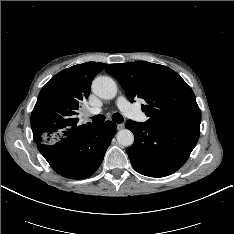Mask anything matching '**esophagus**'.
<instances>
[{"label": "esophagus", "mask_w": 234, "mask_h": 234, "mask_svg": "<svg viewBox=\"0 0 234 234\" xmlns=\"http://www.w3.org/2000/svg\"><path fill=\"white\" fill-rule=\"evenodd\" d=\"M124 128V124H117V129L122 130Z\"/></svg>", "instance_id": "1"}]
</instances>
